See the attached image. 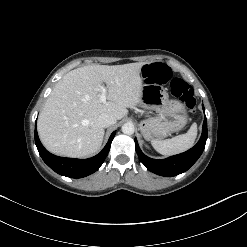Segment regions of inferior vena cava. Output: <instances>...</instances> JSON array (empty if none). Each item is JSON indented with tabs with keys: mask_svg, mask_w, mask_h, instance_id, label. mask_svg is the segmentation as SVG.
Returning <instances> with one entry per match:
<instances>
[{
	"mask_svg": "<svg viewBox=\"0 0 247 247\" xmlns=\"http://www.w3.org/2000/svg\"><path fill=\"white\" fill-rule=\"evenodd\" d=\"M116 121L117 120L113 115L107 113H103L98 117V122L103 128L114 125Z\"/></svg>",
	"mask_w": 247,
	"mask_h": 247,
	"instance_id": "obj_1",
	"label": "inferior vena cava"
}]
</instances>
